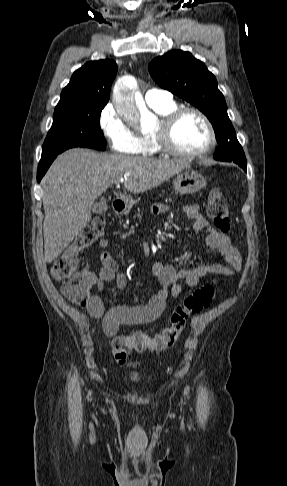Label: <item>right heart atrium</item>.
<instances>
[{"label": "right heart atrium", "mask_w": 287, "mask_h": 486, "mask_svg": "<svg viewBox=\"0 0 287 486\" xmlns=\"http://www.w3.org/2000/svg\"><path fill=\"white\" fill-rule=\"evenodd\" d=\"M99 127L115 152L135 154L140 148V139L125 123L115 106L106 104L99 114Z\"/></svg>", "instance_id": "obj_1"}]
</instances>
